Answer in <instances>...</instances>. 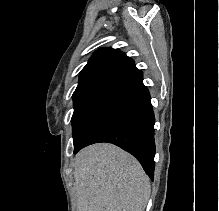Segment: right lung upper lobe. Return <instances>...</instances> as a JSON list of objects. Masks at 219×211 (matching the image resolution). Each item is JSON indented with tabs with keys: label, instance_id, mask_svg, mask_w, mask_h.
<instances>
[{
	"label": "right lung upper lobe",
	"instance_id": "cb5924a9",
	"mask_svg": "<svg viewBox=\"0 0 219 211\" xmlns=\"http://www.w3.org/2000/svg\"><path fill=\"white\" fill-rule=\"evenodd\" d=\"M137 71L139 70L132 59L124 53L112 48H102L93 54L80 72L73 96L97 89H112Z\"/></svg>",
	"mask_w": 219,
	"mask_h": 211
}]
</instances>
